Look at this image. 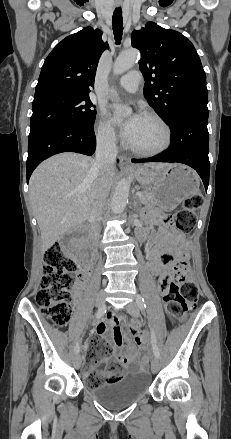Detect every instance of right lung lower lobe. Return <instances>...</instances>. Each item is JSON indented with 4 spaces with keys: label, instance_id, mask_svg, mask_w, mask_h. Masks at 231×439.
<instances>
[{
    "label": "right lung lower lobe",
    "instance_id": "right-lung-lower-lobe-1",
    "mask_svg": "<svg viewBox=\"0 0 231 439\" xmlns=\"http://www.w3.org/2000/svg\"><path fill=\"white\" fill-rule=\"evenodd\" d=\"M95 148L93 126L77 122H57L30 132L26 162L27 181L33 170L52 155L72 151L90 156Z\"/></svg>",
    "mask_w": 231,
    "mask_h": 439
}]
</instances>
